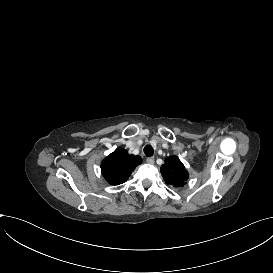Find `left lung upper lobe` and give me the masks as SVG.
<instances>
[{
  "label": "left lung upper lobe",
  "instance_id": "left-lung-upper-lobe-1",
  "mask_svg": "<svg viewBox=\"0 0 273 273\" xmlns=\"http://www.w3.org/2000/svg\"><path fill=\"white\" fill-rule=\"evenodd\" d=\"M160 170L165 182L174 187L183 186L189 177L188 172L177 156L167 158Z\"/></svg>",
  "mask_w": 273,
  "mask_h": 273
}]
</instances>
